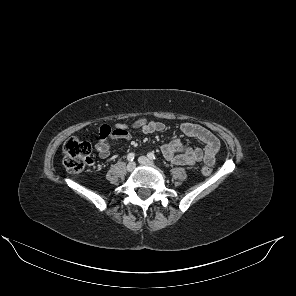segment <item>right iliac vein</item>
<instances>
[{"mask_svg":"<svg viewBox=\"0 0 296 296\" xmlns=\"http://www.w3.org/2000/svg\"><path fill=\"white\" fill-rule=\"evenodd\" d=\"M135 167H136V164L134 162H130V163H128V165L126 167V170L128 172H132L135 169Z\"/></svg>","mask_w":296,"mask_h":296,"instance_id":"1","label":"right iliac vein"}]
</instances>
